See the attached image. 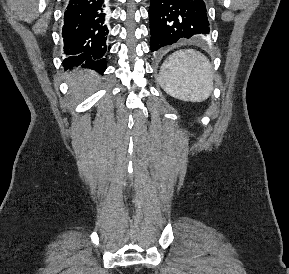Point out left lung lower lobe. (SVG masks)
<instances>
[{
    "label": "left lung lower lobe",
    "instance_id": "left-lung-lower-lobe-1",
    "mask_svg": "<svg viewBox=\"0 0 289 274\" xmlns=\"http://www.w3.org/2000/svg\"><path fill=\"white\" fill-rule=\"evenodd\" d=\"M149 17L152 52L210 32L204 0H151Z\"/></svg>",
    "mask_w": 289,
    "mask_h": 274
}]
</instances>
